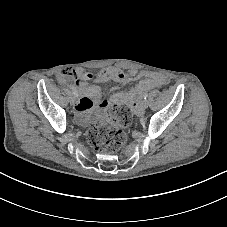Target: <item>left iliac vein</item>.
Returning <instances> with one entry per match:
<instances>
[{
    "label": "left iliac vein",
    "mask_w": 227,
    "mask_h": 227,
    "mask_svg": "<svg viewBox=\"0 0 227 227\" xmlns=\"http://www.w3.org/2000/svg\"><path fill=\"white\" fill-rule=\"evenodd\" d=\"M148 105H149V103H148L147 100H144V101L142 102V108H143V109H146V108L148 107Z\"/></svg>",
    "instance_id": "obj_1"
}]
</instances>
